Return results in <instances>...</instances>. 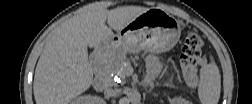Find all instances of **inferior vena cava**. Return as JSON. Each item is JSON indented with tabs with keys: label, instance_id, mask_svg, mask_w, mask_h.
Returning <instances> with one entry per match:
<instances>
[{
	"label": "inferior vena cava",
	"instance_id": "inferior-vena-cava-1",
	"mask_svg": "<svg viewBox=\"0 0 252 104\" xmlns=\"http://www.w3.org/2000/svg\"><path fill=\"white\" fill-rule=\"evenodd\" d=\"M119 93H120L119 89H110L109 88V89H106V91H105V94L108 97H116L119 95Z\"/></svg>",
	"mask_w": 252,
	"mask_h": 104
}]
</instances>
